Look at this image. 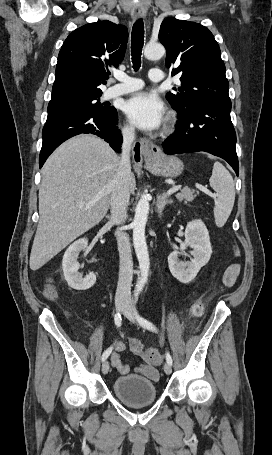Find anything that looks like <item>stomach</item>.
Wrapping results in <instances>:
<instances>
[{"label": "stomach", "mask_w": 272, "mask_h": 455, "mask_svg": "<svg viewBox=\"0 0 272 455\" xmlns=\"http://www.w3.org/2000/svg\"><path fill=\"white\" fill-rule=\"evenodd\" d=\"M147 169L159 176L177 177L184 168L183 162L174 156H160L146 162Z\"/></svg>", "instance_id": "obj_1"}]
</instances>
